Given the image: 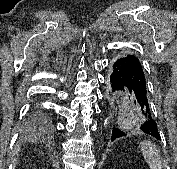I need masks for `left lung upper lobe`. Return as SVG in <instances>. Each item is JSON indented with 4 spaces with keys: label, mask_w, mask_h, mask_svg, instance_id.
<instances>
[{
    "label": "left lung upper lobe",
    "mask_w": 177,
    "mask_h": 169,
    "mask_svg": "<svg viewBox=\"0 0 177 169\" xmlns=\"http://www.w3.org/2000/svg\"><path fill=\"white\" fill-rule=\"evenodd\" d=\"M123 56H125V55H121L120 57H123ZM120 57H118V58H120ZM117 59V58H116Z\"/></svg>",
    "instance_id": "obj_1"
}]
</instances>
